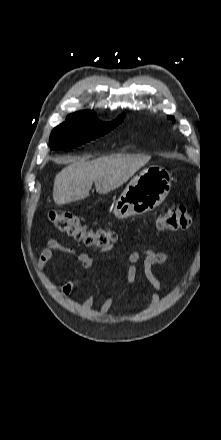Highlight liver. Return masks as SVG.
Listing matches in <instances>:
<instances>
[{"mask_svg":"<svg viewBox=\"0 0 221 440\" xmlns=\"http://www.w3.org/2000/svg\"><path fill=\"white\" fill-rule=\"evenodd\" d=\"M149 160L147 156L130 155L73 160L55 177L54 202L60 206L85 199L93 183L98 193H109L128 181Z\"/></svg>","mask_w":221,"mask_h":440,"instance_id":"obj_1","label":"liver"}]
</instances>
